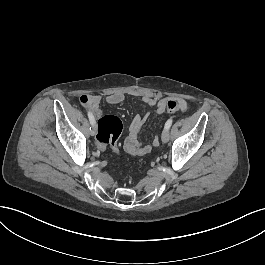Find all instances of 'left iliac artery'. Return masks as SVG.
Listing matches in <instances>:
<instances>
[{"mask_svg": "<svg viewBox=\"0 0 265 265\" xmlns=\"http://www.w3.org/2000/svg\"><path fill=\"white\" fill-rule=\"evenodd\" d=\"M172 122H173L172 118L168 119L167 122L165 123V127L164 128L165 129H169L171 127V125H172Z\"/></svg>", "mask_w": 265, "mask_h": 265, "instance_id": "left-iliac-artery-1", "label": "left iliac artery"}]
</instances>
